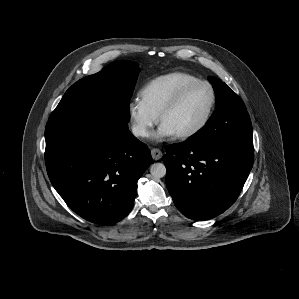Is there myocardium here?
<instances>
[{
    "label": "myocardium",
    "mask_w": 299,
    "mask_h": 299,
    "mask_svg": "<svg viewBox=\"0 0 299 299\" xmlns=\"http://www.w3.org/2000/svg\"><path fill=\"white\" fill-rule=\"evenodd\" d=\"M197 85H204L209 89L210 92V103L208 106V109L206 111V114L204 115L203 119L201 122L192 128L191 130H188L186 132L180 133L175 135L178 139H188L191 137L196 136L199 134L209 123L211 116L213 114L215 105H216V92L212 84L206 80H200L197 79L195 81H192L190 83H187L183 87H181L175 94L174 96L169 100V102L162 108L160 111L158 118L159 122L162 123L163 118L170 112L172 111L183 99L185 94L192 89L193 87Z\"/></svg>",
    "instance_id": "1"
}]
</instances>
